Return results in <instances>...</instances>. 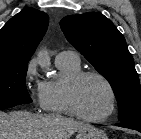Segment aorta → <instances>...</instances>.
Instances as JSON below:
<instances>
[{
	"mask_svg": "<svg viewBox=\"0 0 141 139\" xmlns=\"http://www.w3.org/2000/svg\"><path fill=\"white\" fill-rule=\"evenodd\" d=\"M37 59L40 66L47 67L50 65V58L46 49L42 48L37 53Z\"/></svg>",
	"mask_w": 141,
	"mask_h": 139,
	"instance_id": "obj_1",
	"label": "aorta"
}]
</instances>
